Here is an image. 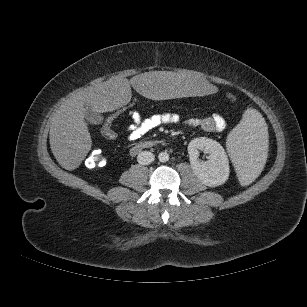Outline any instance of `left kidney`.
I'll return each mask as SVG.
<instances>
[{"label":"left kidney","instance_id":"1","mask_svg":"<svg viewBox=\"0 0 307 307\" xmlns=\"http://www.w3.org/2000/svg\"><path fill=\"white\" fill-rule=\"evenodd\" d=\"M199 150L209 154L208 161H199ZM191 167L195 175L208 186H219L229 177V161L224 148L216 141L200 137L188 145Z\"/></svg>","mask_w":307,"mask_h":307}]
</instances>
